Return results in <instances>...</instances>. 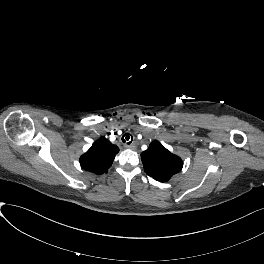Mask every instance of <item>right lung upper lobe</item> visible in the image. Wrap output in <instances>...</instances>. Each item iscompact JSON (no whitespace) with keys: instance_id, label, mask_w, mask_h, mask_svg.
<instances>
[{"instance_id":"1","label":"right lung upper lobe","mask_w":264,"mask_h":264,"mask_svg":"<svg viewBox=\"0 0 264 264\" xmlns=\"http://www.w3.org/2000/svg\"><path fill=\"white\" fill-rule=\"evenodd\" d=\"M118 151L117 146L109 140L101 138L80 157L81 167L98 175L107 173Z\"/></svg>"}]
</instances>
